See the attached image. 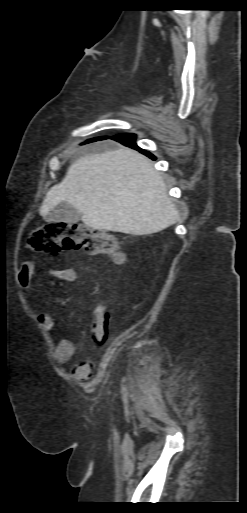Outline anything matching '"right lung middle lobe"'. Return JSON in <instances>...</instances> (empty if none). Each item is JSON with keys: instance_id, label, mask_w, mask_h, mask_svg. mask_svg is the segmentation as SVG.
Segmentation results:
<instances>
[{"instance_id": "right-lung-middle-lobe-1", "label": "right lung middle lobe", "mask_w": 247, "mask_h": 513, "mask_svg": "<svg viewBox=\"0 0 247 513\" xmlns=\"http://www.w3.org/2000/svg\"><path fill=\"white\" fill-rule=\"evenodd\" d=\"M95 140H100V139H95ZM95 140H94V141H95ZM90 141H91V140H90ZM90 141H88V142H90Z\"/></svg>"}]
</instances>
